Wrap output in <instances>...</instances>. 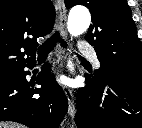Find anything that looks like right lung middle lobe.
I'll use <instances>...</instances> for the list:
<instances>
[{
  "mask_svg": "<svg viewBox=\"0 0 142 128\" xmlns=\"http://www.w3.org/2000/svg\"><path fill=\"white\" fill-rule=\"evenodd\" d=\"M17 74V72L0 77V85L9 82L15 75Z\"/></svg>",
  "mask_w": 142,
  "mask_h": 128,
  "instance_id": "right-lung-middle-lobe-1",
  "label": "right lung middle lobe"
}]
</instances>
